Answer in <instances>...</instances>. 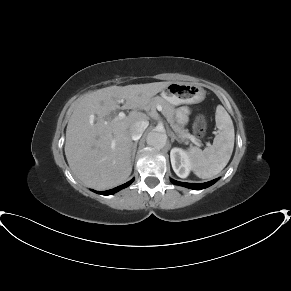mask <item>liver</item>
I'll use <instances>...</instances> for the list:
<instances>
[{"label": "liver", "mask_w": 291, "mask_h": 291, "mask_svg": "<svg viewBox=\"0 0 291 291\" xmlns=\"http://www.w3.org/2000/svg\"><path fill=\"white\" fill-rule=\"evenodd\" d=\"M171 82L110 86L82 98L66 129L65 155L72 172L87 186L105 190L122 184L132 171L130 126L148 119L144 109ZM119 101H124L122 107ZM133 109L112 117L117 109Z\"/></svg>", "instance_id": "obj_1"}]
</instances>
